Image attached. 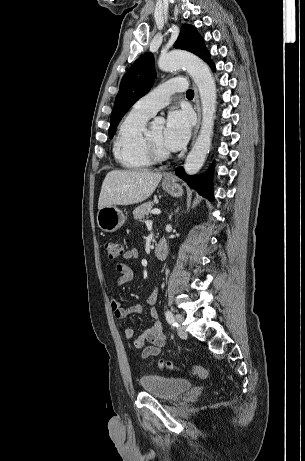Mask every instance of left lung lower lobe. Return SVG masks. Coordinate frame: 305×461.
Segmentation results:
<instances>
[{
	"mask_svg": "<svg viewBox=\"0 0 305 461\" xmlns=\"http://www.w3.org/2000/svg\"><path fill=\"white\" fill-rule=\"evenodd\" d=\"M208 64L212 68V70H215V65L211 60L208 62ZM175 172L176 175L183 179L185 182H187V184L190 187L196 189L200 195L208 198L210 201H213V191L211 183L212 166L205 174L197 177L187 175L182 167L177 168Z\"/></svg>",
	"mask_w": 305,
	"mask_h": 461,
	"instance_id": "0a47b994",
	"label": "left lung lower lobe"
}]
</instances>
